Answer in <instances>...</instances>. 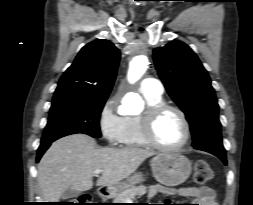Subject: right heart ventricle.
<instances>
[{"label":"right heart ventricle","instance_id":"e07e8e85","mask_svg":"<svg viewBox=\"0 0 253 205\" xmlns=\"http://www.w3.org/2000/svg\"><path fill=\"white\" fill-rule=\"evenodd\" d=\"M148 107L163 103L162 95H151L143 93ZM142 115L125 116L121 144L125 147L145 148L149 147L144 140L141 129Z\"/></svg>","mask_w":253,"mask_h":205}]
</instances>
